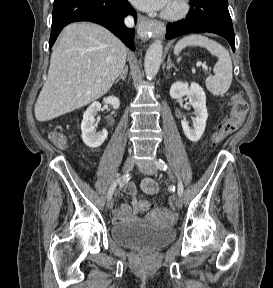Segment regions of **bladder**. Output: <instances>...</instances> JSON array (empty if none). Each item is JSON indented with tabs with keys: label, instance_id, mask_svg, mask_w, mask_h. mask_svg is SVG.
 <instances>
[{
	"label": "bladder",
	"instance_id": "bladder-1",
	"mask_svg": "<svg viewBox=\"0 0 273 288\" xmlns=\"http://www.w3.org/2000/svg\"><path fill=\"white\" fill-rule=\"evenodd\" d=\"M110 237L112 242L120 248L149 252L159 250L173 242L176 233L172 228L129 222L113 225Z\"/></svg>",
	"mask_w": 273,
	"mask_h": 288
}]
</instances>
